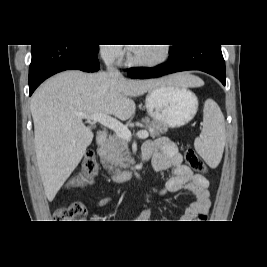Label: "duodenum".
<instances>
[{
  "instance_id": "1",
  "label": "duodenum",
  "mask_w": 267,
  "mask_h": 267,
  "mask_svg": "<svg viewBox=\"0 0 267 267\" xmlns=\"http://www.w3.org/2000/svg\"><path fill=\"white\" fill-rule=\"evenodd\" d=\"M108 141V134L106 131H99L96 136V143L100 148V154H104V146L106 145ZM142 160H146L145 158H142ZM133 177V172L131 170L125 169L120 171H113L110 173V178L114 182H122L129 180Z\"/></svg>"
}]
</instances>
